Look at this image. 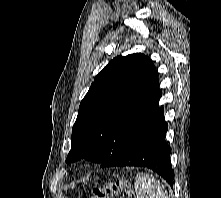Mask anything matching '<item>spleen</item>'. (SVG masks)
<instances>
[{
    "instance_id": "3e777b00",
    "label": "spleen",
    "mask_w": 221,
    "mask_h": 198,
    "mask_svg": "<svg viewBox=\"0 0 221 198\" xmlns=\"http://www.w3.org/2000/svg\"><path fill=\"white\" fill-rule=\"evenodd\" d=\"M134 188L137 198H169L160 181L147 173L136 176Z\"/></svg>"
}]
</instances>
